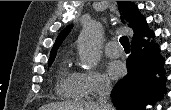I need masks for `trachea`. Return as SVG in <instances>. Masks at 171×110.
I'll return each mask as SVG.
<instances>
[{
    "mask_svg": "<svg viewBox=\"0 0 171 110\" xmlns=\"http://www.w3.org/2000/svg\"><path fill=\"white\" fill-rule=\"evenodd\" d=\"M120 43L124 49H130V43L127 36H122L120 38Z\"/></svg>",
    "mask_w": 171,
    "mask_h": 110,
    "instance_id": "3493384b",
    "label": "trachea"
}]
</instances>
